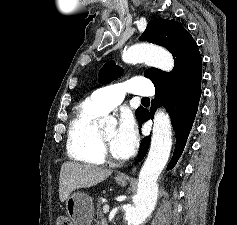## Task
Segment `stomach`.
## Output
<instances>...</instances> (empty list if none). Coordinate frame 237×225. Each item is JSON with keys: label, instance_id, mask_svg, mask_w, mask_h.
<instances>
[{"label": "stomach", "instance_id": "stomach-1", "mask_svg": "<svg viewBox=\"0 0 237 225\" xmlns=\"http://www.w3.org/2000/svg\"><path fill=\"white\" fill-rule=\"evenodd\" d=\"M120 186H126L128 179L116 177ZM66 213L75 225H91L94 216V203L85 193H74L66 200Z\"/></svg>", "mask_w": 237, "mask_h": 225}]
</instances>
